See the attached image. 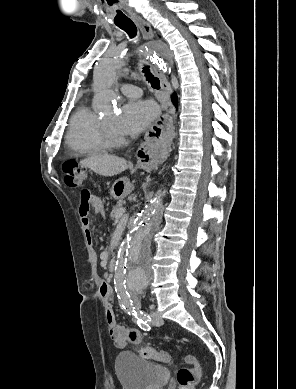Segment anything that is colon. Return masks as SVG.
I'll use <instances>...</instances> for the list:
<instances>
[{"label": "colon", "mask_w": 296, "mask_h": 389, "mask_svg": "<svg viewBox=\"0 0 296 389\" xmlns=\"http://www.w3.org/2000/svg\"><path fill=\"white\" fill-rule=\"evenodd\" d=\"M64 181L71 188H78L82 185L86 172L77 162L70 161L63 165ZM141 356L145 359L155 360L163 363L170 361V355L164 350H155L145 346L141 349ZM184 361L190 367L180 368L177 372L179 389H195L201 373L199 360L194 355H186Z\"/></svg>", "instance_id": "obj_1"}]
</instances>
